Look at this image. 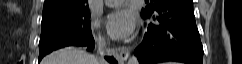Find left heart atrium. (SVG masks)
Listing matches in <instances>:
<instances>
[{
  "mask_svg": "<svg viewBox=\"0 0 242 64\" xmlns=\"http://www.w3.org/2000/svg\"><path fill=\"white\" fill-rule=\"evenodd\" d=\"M107 28L111 37L122 39L130 36L135 28V17L128 9H119L108 16Z\"/></svg>",
  "mask_w": 242,
  "mask_h": 64,
  "instance_id": "left-heart-atrium-1",
  "label": "left heart atrium"
}]
</instances>
